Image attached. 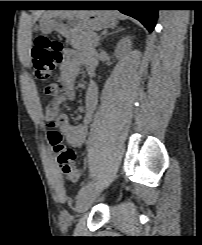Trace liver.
I'll return each instance as SVG.
<instances>
[{
  "mask_svg": "<svg viewBox=\"0 0 202 245\" xmlns=\"http://www.w3.org/2000/svg\"><path fill=\"white\" fill-rule=\"evenodd\" d=\"M73 12H75V11H73ZM65 13H69V12L66 11ZM42 14H43L42 10L37 11L36 14H35V19L39 18Z\"/></svg>",
  "mask_w": 202,
  "mask_h": 245,
  "instance_id": "obj_1",
  "label": "liver"
}]
</instances>
